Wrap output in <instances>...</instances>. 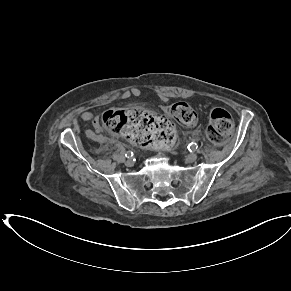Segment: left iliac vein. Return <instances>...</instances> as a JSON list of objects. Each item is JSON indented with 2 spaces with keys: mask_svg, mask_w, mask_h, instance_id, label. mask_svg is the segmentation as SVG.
I'll list each match as a JSON object with an SVG mask.
<instances>
[{
  "mask_svg": "<svg viewBox=\"0 0 291 291\" xmlns=\"http://www.w3.org/2000/svg\"><path fill=\"white\" fill-rule=\"evenodd\" d=\"M197 158H198V156H197V154H195V153H190V154H188L187 155V161L188 162H194V161H196L197 160Z\"/></svg>",
  "mask_w": 291,
  "mask_h": 291,
  "instance_id": "1",
  "label": "left iliac vein"
}]
</instances>
